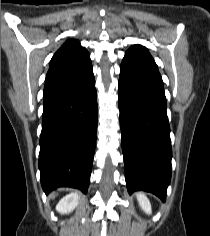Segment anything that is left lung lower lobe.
Wrapping results in <instances>:
<instances>
[{
  "label": "left lung lower lobe",
  "mask_w": 210,
  "mask_h": 236,
  "mask_svg": "<svg viewBox=\"0 0 210 236\" xmlns=\"http://www.w3.org/2000/svg\"><path fill=\"white\" fill-rule=\"evenodd\" d=\"M118 101L127 190L148 191L165 201L172 150L158 69L122 61Z\"/></svg>",
  "instance_id": "0a47b994"
}]
</instances>
